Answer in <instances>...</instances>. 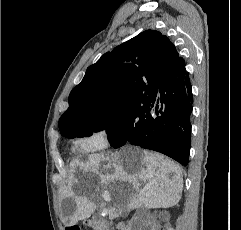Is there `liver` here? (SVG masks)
I'll use <instances>...</instances> for the list:
<instances>
[{
	"mask_svg": "<svg viewBox=\"0 0 241 230\" xmlns=\"http://www.w3.org/2000/svg\"><path fill=\"white\" fill-rule=\"evenodd\" d=\"M95 176L99 179L96 191L90 197L97 196L101 186H104V194L108 193L113 201L121 206L124 199L115 193L111 183L128 182L136 190L134 197L128 195V207L139 208H170L178 204L183 189V175L180 166L174 161L159 154L126 146L115 153L91 154L86 162L75 161L69 174V181L62 188V199L73 198L76 201L75 212L69 216L61 215L62 222L67 225H75L79 220L88 218L96 209L86 196L78 197L75 192L84 179ZM146 185L140 188V183ZM109 186L110 192L107 190Z\"/></svg>",
	"mask_w": 241,
	"mask_h": 230,
	"instance_id": "6515ba94",
	"label": "liver"
}]
</instances>
